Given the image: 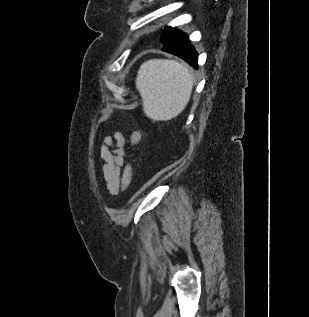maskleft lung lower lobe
Here are the masks:
<instances>
[{
    "label": "left lung lower lobe",
    "mask_w": 309,
    "mask_h": 317,
    "mask_svg": "<svg viewBox=\"0 0 309 317\" xmlns=\"http://www.w3.org/2000/svg\"><path fill=\"white\" fill-rule=\"evenodd\" d=\"M163 51L184 59L194 68H198V53L186 33H180L175 39L163 45Z\"/></svg>",
    "instance_id": "1"
}]
</instances>
